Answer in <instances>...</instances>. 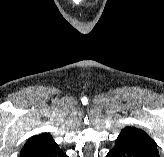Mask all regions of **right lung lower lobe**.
I'll list each match as a JSON object with an SVG mask.
<instances>
[{"instance_id": "98d812e1", "label": "right lung lower lobe", "mask_w": 164, "mask_h": 157, "mask_svg": "<svg viewBox=\"0 0 164 157\" xmlns=\"http://www.w3.org/2000/svg\"><path fill=\"white\" fill-rule=\"evenodd\" d=\"M23 157H68L57 144L51 140L48 142L41 143L29 152H27Z\"/></svg>"}]
</instances>
